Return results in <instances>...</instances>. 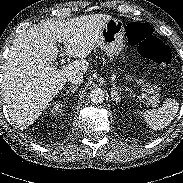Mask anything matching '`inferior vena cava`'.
<instances>
[{
    "instance_id": "602c4592",
    "label": "inferior vena cava",
    "mask_w": 183,
    "mask_h": 183,
    "mask_svg": "<svg viewBox=\"0 0 183 183\" xmlns=\"http://www.w3.org/2000/svg\"><path fill=\"white\" fill-rule=\"evenodd\" d=\"M68 81L73 85H80L83 82V74L74 73L68 77Z\"/></svg>"
}]
</instances>
